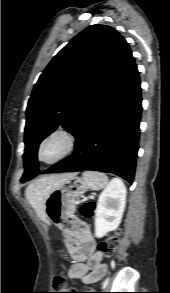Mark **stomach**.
I'll list each match as a JSON object with an SVG mask.
<instances>
[{
    "label": "stomach",
    "instance_id": "stomach-1",
    "mask_svg": "<svg viewBox=\"0 0 170 293\" xmlns=\"http://www.w3.org/2000/svg\"><path fill=\"white\" fill-rule=\"evenodd\" d=\"M88 187L83 179L72 174L70 177L55 186L45 202L47 218L58 228L73 233L72 224L76 212V202L87 191Z\"/></svg>",
    "mask_w": 170,
    "mask_h": 293
}]
</instances>
